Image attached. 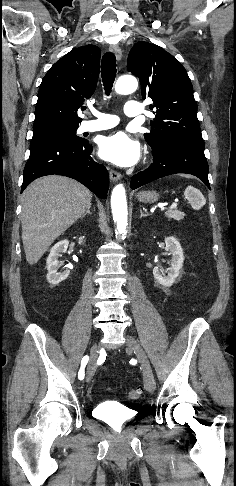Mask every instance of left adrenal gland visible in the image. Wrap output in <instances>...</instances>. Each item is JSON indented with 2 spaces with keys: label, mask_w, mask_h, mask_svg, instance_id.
<instances>
[{
  "label": "left adrenal gland",
  "mask_w": 236,
  "mask_h": 486,
  "mask_svg": "<svg viewBox=\"0 0 236 486\" xmlns=\"http://www.w3.org/2000/svg\"><path fill=\"white\" fill-rule=\"evenodd\" d=\"M140 214H141V215H140V218H142V217H146V216H148V215H149L148 213H144V212L142 211V209H140Z\"/></svg>",
  "instance_id": "left-adrenal-gland-1"
}]
</instances>
